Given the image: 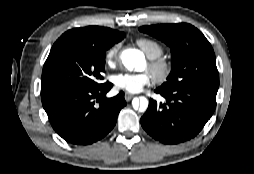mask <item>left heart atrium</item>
<instances>
[{"instance_id":"obj_1","label":"left heart atrium","mask_w":254,"mask_h":174,"mask_svg":"<svg viewBox=\"0 0 254 174\" xmlns=\"http://www.w3.org/2000/svg\"><path fill=\"white\" fill-rule=\"evenodd\" d=\"M151 82L152 76L149 73H120L113 77L115 87L128 93H138Z\"/></svg>"}]
</instances>
